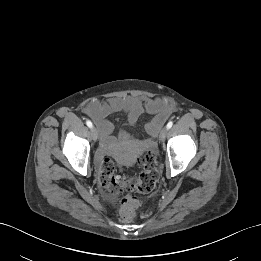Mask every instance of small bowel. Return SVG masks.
Wrapping results in <instances>:
<instances>
[{
	"mask_svg": "<svg viewBox=\"0 0 261 261\" xmlns=\"http://www.w3.org/2000/svg\"><path fill=\"white\" fill-rule=\"evenodd\" d=\"M85 113L95 122L105 140V145L111 143L114 124L108 120L113 113H124L128 124H135L143 112L153 115L146 124L147 133L154 137L174 111V106L162 99H151L145 96L113 97L105 101L91 100L85 106Z\"/></svg>",
	"mask_w": 261,
	"mask_h": 261,
	"instance_id": "obj_1",
	"label": "small bowel"
}]
</instances>
